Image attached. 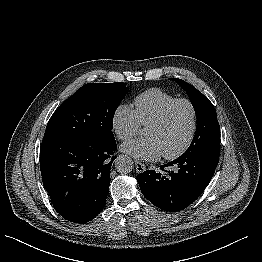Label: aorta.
<instances>
[{"label": "aorta", "instance_id": "762f6f07", "mask_svg": "<svg viewBox=\"0 0 262 262\" xmlns=\"http://www.w3.org/2000/svg\"><path fill=\"white\" fill-rule=\"evenodd\" d=\"M115 168L119 173H129L133 169V161L129 156L120 155L115 160Z\"/></svg>", "mask_w": 262, "mask_h": 262}]
</instances>
